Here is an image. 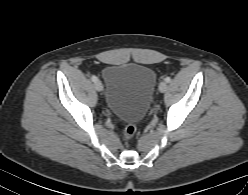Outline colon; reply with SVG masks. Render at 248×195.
Masks as SVG:
<instances>
[{"label": "colon", "instance_id": "obj_1", "mask_svg": "<svg viewBox=\"0 0 248 195\" xmlns=\"http://www.w3.org/2000/svg\"><path fill=\"white\" fill-rule=\"evenodd\" d=\"M136 131H137V126L135 123H131L129 122L125 128H124V138L127 140V141H130L133 139V137L135 136L136 134Z\"/></svg>", "mask_w": 248, "mask_h": 195}]
</instances>
